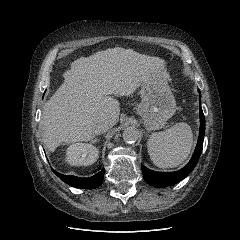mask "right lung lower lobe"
<instances>
[{
  "instance_id": "98d812e1",
  "label": "right lung lower lobe",
  "mask_w": 240,
  "mask_h": 240,
  "mask_svg": "<svg viewBox=\"0 0 240 240\" xmlns=\"http://www.w3.org/2000/svg\"><path fill=\"white\" fill-rule=\"evenodd\" d=\"M53 172L66 184L76 187V188H83V189H93L97 188L101 185L104 178V169H102L99 173L92 177L88 178H80L71 175H63L53 170Z\"/></svg>"
}]
</instances>
